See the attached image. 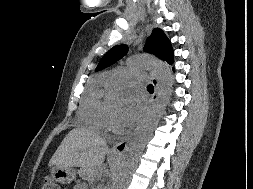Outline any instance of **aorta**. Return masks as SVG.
Instances as JSON below:
<instances>
[{
  "label": "aorta",
  "instance_id": "762f6f07",
  "mask_svg": "<svg viewBox=\"0 0 253 189\" xmlns=\"http://www.w3.org/2000/svg\"><path fill=\"white\" fill-rule=\"evenodd\" d=\"M128 65L134 68L152 69L159 82V93L154 106L128 145L122 163L112 178L111 189H123L125 179L135 169L145 145L152 137L161 115L165 112L173 85L171 69L158 59L150 56H134L128 59ZM106 101L111 106H120L123 103V97L119 92L110 90L106 96Z\"/></svg>",
  "mask_w": 253,
  "mask_h": 189
}]
</instances>
